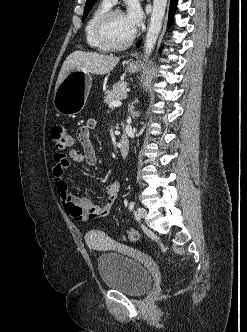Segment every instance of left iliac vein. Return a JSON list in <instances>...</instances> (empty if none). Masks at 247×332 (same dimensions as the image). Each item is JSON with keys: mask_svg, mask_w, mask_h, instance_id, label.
<instances>
[{"mask_svg": "<svg viewBox=\"0 0 247 332\" xmlns=\"http://www.w3.org/2000/svg\"><path fill=\"white\" fill-rule=\"evenodd\" d=\"M146 215H147V211H146L144 208L139 207V208L137 209V216H138L140 219L145 218Z\"/></svg>", "mask_w": 247, "mask_h": 332, "instance_id": "obj_1", "label": "left iliac vein"}]
</instances>
